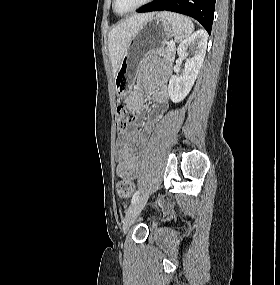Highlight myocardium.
Listing matches in <instances>:
<instances>
[{
  "label": "myocardium",
  "instance_id": "f54148a6",
  "mask_svg": "<svg viewBox=\"0 0 280 285\" xmlns=\"http://www.w3.org/2000/svg\"><path fill=\"white\" fill-rule=\"evenodd\" d=\"M151 1L153 0H143L141 3H139L137 6H135L134 8H132L131 10H128L126 12H120L118 9H117V0H113V8H114V11L119 14V15H126V14H129V13H132V12H135L136 10L140 9L141 7L147 5L148 3H150Z\"/></svg>",
  "mask_w": 280,
  "mask_h": 285
}]
</instances>
